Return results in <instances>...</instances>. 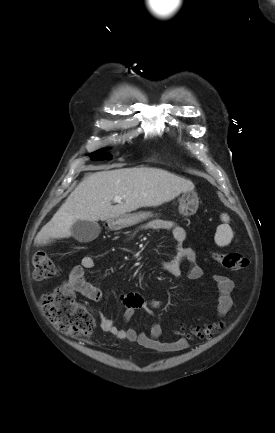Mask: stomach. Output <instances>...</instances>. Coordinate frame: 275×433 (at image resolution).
<instances>
[{"label": "stomach", "mask_w": 275, "mask_h": 433, "mask_svg": "<svg viewBox=\"0 0 275 433\" xmlns=\"http://www.w3.org/2000/svg\"><path fill=\"white\" fill-rule=\"evenodd\" d=\"M199 199L194 191L184 192L179 200V213L182 216L194 215L198 209ZM150 214L145 212L127 213L107 220V226L111 230L126 228L145 220Z\"/></svg>", "instance_id": "1"}]
</instances>
